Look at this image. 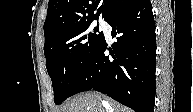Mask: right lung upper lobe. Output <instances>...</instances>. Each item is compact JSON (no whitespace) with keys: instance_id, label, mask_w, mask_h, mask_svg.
<instances>
[{"instance_id":"right-lung-upper-lobe-1","label":"right lung upper lobe","mask_w":193,"mask_h":112,"mask_svg":"<svg viewBox=\"0 0 193 112\" xmlns=\"http://www.w3.org/2000/svg\"><path fill=\"white\" fill-rule=\"evenodd\" d=\"M134 1L49 0L44 23L45 43L58 32L75 25L92 23L100 15L108 22Z\"/></svg>"}]
</instances>
